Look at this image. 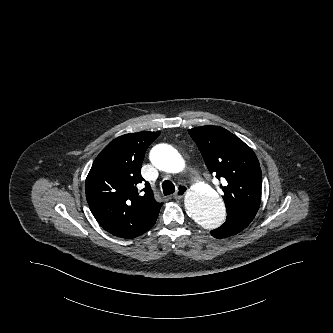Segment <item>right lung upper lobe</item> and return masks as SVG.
I'll return each instance as SVG.
<instances>
[{"instance_id":"right-lung-upper-lobe-1","label":"right lung upper lobe","mask_w":333,"mask_h":333,"mask_svg":"<svg viewBox=\"0 0 333 333\" xmlns=\"http://www.w3.org/2000/svg\"><path fill=\"white\" fill-rule=\"evenodd\" d=\"M160 132L125 134L111 141L97 156L86 178V199L97 222L111 234L134 238L158 217L162 203L149 183L138 184L145 151Z\"/></svg>"}]
</instances>
